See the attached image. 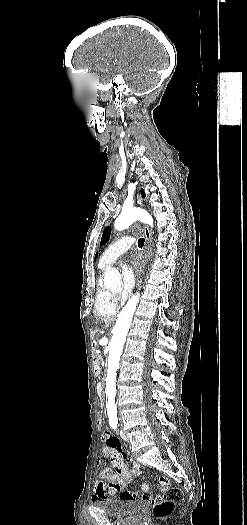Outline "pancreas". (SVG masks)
<instances>
[{
    "label": "pancreas",
    "mask_w": 247,
    "mask_h": 525,
    "mask_svg": "<svg viewBox=\"0 0 247 525\" xmlns=\"http://www.w3.org/2000/svg\"><path fill=\"white\" fill-rule=\"evenodd\" d=\"M98 352H100V349H94V352H93V359L95 361H98L100 359V354H98Z\"/></svg>",
    "instance_id": "cf45deb5"
}]
</instances>
